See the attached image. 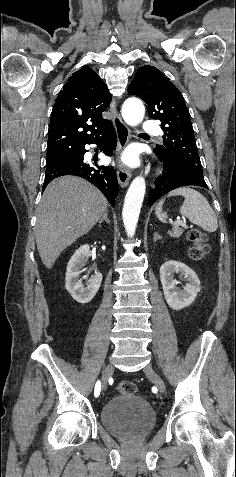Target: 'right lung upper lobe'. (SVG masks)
<instances>
[{"instance_id": "right-lung-upper-lobe-1", "label": "right lung upper lobe", "mask_w": 236, "mask_h": 477, "mask_svg": "<svg viewBox=\"0 0 236 477\" xmlns=\"http://www.w3.org/2000/svg\"><path fill=\"white\" fill-rule=\"evenodd\" d=\"M111 94L100 77L83 66L60 91L48 130L47 166L62 163L110 125L103 119Z\"/></svg>"}]
</instances>
